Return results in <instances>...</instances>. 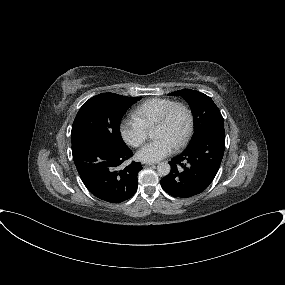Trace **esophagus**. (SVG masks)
Instances as JSON below:
<instances>
[{"label":"esophagus","mask_w":285,"mask_h":285,"mask_svg":"<svg viewBox=\"0 0 285 285\" xmlns=\"http://www.w3.org/2000/svg\"><path fill=\"white\" fill-rule=\"evenodd\" d=\"M153 165L152 163H147V162H142V166L145 168V167H149Z\"/></svg>","instance_id":"obj_1"}]
</instances>
